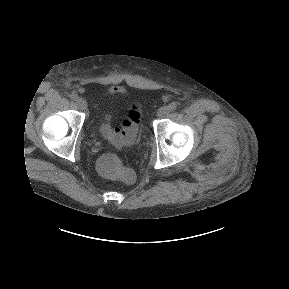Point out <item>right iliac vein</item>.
<instances>
[{
  "label": "right iliac vein",
  "mask_w": 289,
  "mask_h": 289,
  "mask_svg": "<svg viewBox=\"0 0 289 289\" xmlns=\"http://www.w3.org/2000/svg\"><path fill=\"white\" fill-rule=\"evenodd\" d=\"M76 104L81 110L87 109V102L83 98H78Z\"/></svg>",
  "instance_id": "obj_1"
}]
</instances>
